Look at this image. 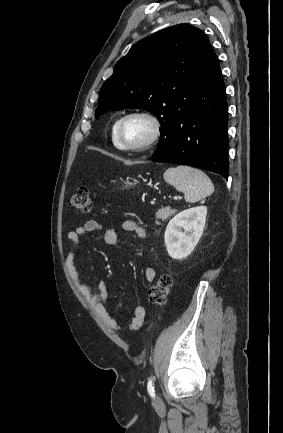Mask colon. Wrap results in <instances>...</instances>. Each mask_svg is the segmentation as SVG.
Instances as JSON below:
<instances>
[{"label": "colon", "instance_id": "1", "mask_svg": "<svg viewBox=\"0 0 283 433\" xmlns=\"http://www.w3.org/2000/svg\"><path fill=\"white\" fill-rule=\"evenodd\" d=\"M70 206L78 213L86 215L92 208L91 192L87 187H79L69 200ZM172 278L168 274L161 275L148 291L150 303L162 307L170 294Z\"/></svg>", "mask_w": 283, "mask_h": 433}]
</instances>
